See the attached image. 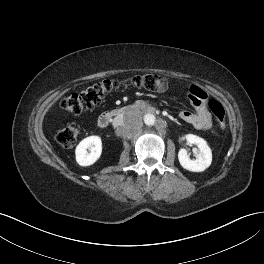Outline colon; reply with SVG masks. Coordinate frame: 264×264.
<instances>
[{"mask_svg":"<svg viewBox=\"0 0 264 264\" xmlns=\"http://www.w3.org/2000/svg\"><path fill=\"white\" fill-rule=\"evenodd\" d=\"M124 86L143 88L153 92H164L168 88L166 79L154 75H137L123 80L106 79L95 83L88 88L73 93L61 101V108L72 114H79L93 109L101 103L103 98L112 91ZM208 107L221 128H225V111L217 101H210ZM79 135V128L76 124H70L55 132L56 141L65 148L73 147Z\"/></svg>","mask_w":264,"mask_h":264,"instance_id":"1","label":"colon"}]
</instances>
